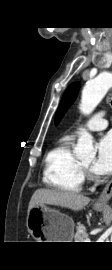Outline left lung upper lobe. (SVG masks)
I'll return each mask as SVG.
<instances>
[{
	"mask_svg": "<svg viewBox=\"0 0 112 270\" xmlns=\"http://www.w3.org/2000/svg\"><path fill=\"white\" fill-rule=\"evenodd\" d=\"M78 87L79 83L75 82L69 85V87L66 89L61 103L58 107V110L55 115V124L57 125L65 112L67 111L68 107L73 103V101L76 99L77 94H78Z\"/></svg>",
	"mask_w": 112,
	"mask_h": 270,
	"instance_id": "left-lung-upper-lobe-1",
	"label": "left lung upper lobe"
}]
</instances>
